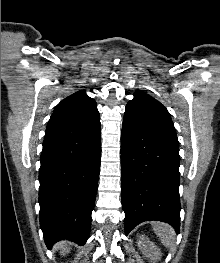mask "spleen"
Returning a JSON list of instances; mask_svg holds the SVG:
<instances>
[{
    "label": "spleen",
    "mask_w": 220,
    "mask_h": 263,
    "mask_svg": "<svg viewBox=\"0 0 220 263\" xmlns=\"http://www.w3.org/2000/svg\"><path fill=\"white\" fill-rule=\"evenodd\" d=\"M153 230L165 247L167 248L174 247L175 232L171 226L162 222H155L153 224Z\"/></svg>",
    "instance_id": "1"
}]
</instances>
